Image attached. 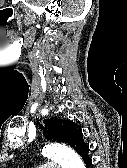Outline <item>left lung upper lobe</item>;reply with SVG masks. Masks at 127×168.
Masks as SVG:
<instances>
[{"mask_svg":"<svg viewBox=\"0 0 127 168\" xmlns=\"http://www.w3.org/2000/svg\"><path fill=\"white\" fill-rule=\"evenodd\" d=\"M43 123L45 127L41 125L40 129L47 140L67 143L76 151L84 143L81 127L70 120L50 118Z\"/></svg>","mask_w":127,"mask_h":168,"instance_id":"left-lung-upper-lobe-1","label":"left lung upper lobe"}]
</instances>
